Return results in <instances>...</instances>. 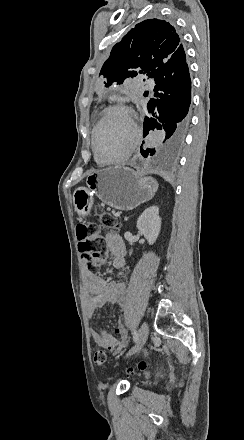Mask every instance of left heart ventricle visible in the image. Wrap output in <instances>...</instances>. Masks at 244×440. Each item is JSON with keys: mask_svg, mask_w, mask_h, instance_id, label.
I'll return each mask as SVG.
<instances>
[{"mask_svg": "<svg viewBox=\"0 0 244 440\" xmlns=\"http://www.w3.org/2000/svg\"><path fill=\"white\" fill-rule=\"evenodd\" d=\"M136 131L132 115L121 111L111 112L103 124L102 133L99 134V154L108 156L110 151H115L116 144L132 137Z\"/></svg>", "mask_w": 244, "mask_h": 440, "instance_id": "obj_1", "label": "left heart ventricle"}]
</instances>
